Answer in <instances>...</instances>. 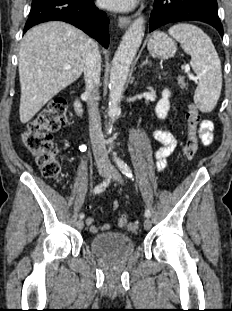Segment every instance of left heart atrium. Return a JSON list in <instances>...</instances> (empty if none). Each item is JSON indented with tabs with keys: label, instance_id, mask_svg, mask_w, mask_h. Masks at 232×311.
Instances as JSON below:
<instances>
[{
	"label": "left heart atrium",
	"instance_id": "1",
	"mask_svg": "<svg viewBox=\"0 0 232 311\" xmlns=\"http://www.w3.org/2000/svg\"><path fill=\"white\" fill-rule=\"evenodd\" d=\"M138 0H99L100 4L115 11H126L134 8Z\"/></svg>",
	"mask_w": 232,
	"mask_h": 311
}]
</instances>
